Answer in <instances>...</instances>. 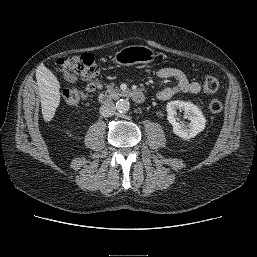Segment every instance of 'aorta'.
<instances>
[{
	"instance_id": "1",
	"label": "aorta",
	"mask_w": 257,
	"mask_h": 257,
	"mask_svg": "<svg viewBox=\"0 0 257 257\" xmlns=\"http://www.w3.org/2000/svg\"><path fill=\"white\" fill-rule=\"evenodd\" d=\"M130 109V103L127 99H120L116 102V110L125 113Z\"/></svg>"
}]
</instances>
